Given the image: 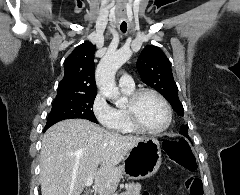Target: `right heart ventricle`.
<instances>
[{"mask_svg": "<svg viewBox=\"0 0 240 195\" xmlns=\"http://www.w3.org/2000/svg\"><path fill=\"white\" fill-rule=\"evenodd\" d=\"M121 91L126 97H131L134 92V86L132 88L121 86ZM116 110V120L113 124L108 125L110 131H118V136L121 134L136 133V129L132 126L127 110L126 104L124 106L118 105ZM115 137V136H112Z\"/></svg>", "mask_w": 240, "mask_h": 195, "instance_id": "right-heart-ventricle-1", "label": "right heart ventricle"}]
</instances>
